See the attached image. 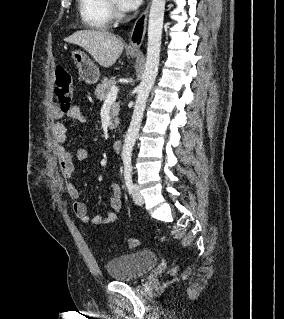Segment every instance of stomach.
Returning a JSON list of instances; mask_svg holds the SVG:
<instances>
[{
    "label": "stomach",
    "mask_w": 284,
    "mask_h": 319,
    "mask_svg": "<svg viewBox=\"0 0 284 319\" xmlns=\"http://www.w3.org/2000/svg\"><path fill=\"white\" fill-rule=\"evenodd\" d=\"M131 57H136L135 53H129ZM72 58L78 68L79 76L87 84H94L99 80V69L89 59V57L81 50L72 52Z\"/></svg>",
    "instance_id": "stomach-1"
}]
</instances>
